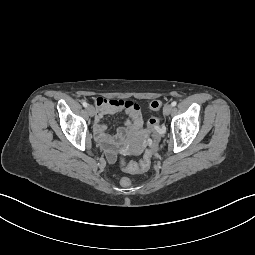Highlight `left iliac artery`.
Segmentation results:
<instances>
[{
    "instance_id": "left-iliac-artery-1",
    "label": "left iliac artery",
    "mask_w": 255,
    "mask_h": 255,
    "mask_svg": "<svg viewBox=\"0 0 255 255\" xmlns=\"http://www.w3.org/2000/svg\"><path fill=\"white\" fill-rule=\"evenodd\" d=\"M171 105H172L173 107H175V106L177 105V102H176V101H173V102L171 103Z\"/></svg>"
}]
</instances>
